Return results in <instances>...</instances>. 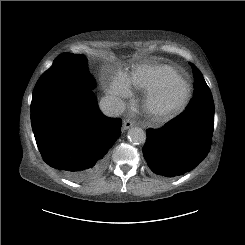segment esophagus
Listing matches in <instances>:
<instances>
[{"mask_svg": "<svg viewBox=\"0 0 245 245\" xmlns=\"http://www.w3.org/2000/svg\"><path fill=\"white\" fill-rule=\"evenodd\" d=\"M133 126H134V122H132V121H130L128 119L123 121V129L124 130H127V129L133 127Z\"/></svg>", "mask_w": 245, "mask_h": 245, "instance_id": "esophagus-1", "label": "esophagus"}]
</instances>
